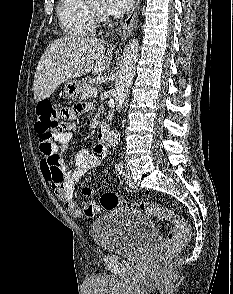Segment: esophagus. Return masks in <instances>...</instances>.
Segmentation results:
<instances>
[{"mask_svg":"<svg viewBox=\"0 0 233 294\" xmlns=\"http://www.w3.org/2000/svg\"><path fill=\"white\" fill-rule=\"evenodd\" d=\"M140 0H135L134 5L128 15V17L125 20V23L122 28V34L121 39L122 41L126 40L127 37L131 34L132 29L134 27L136 18L138 16L139 10H140Z\"/></svg>","mask_w":233,"mask_h":294,"instance_id":"34e87169","label":"esophagus"}]
</instances>
